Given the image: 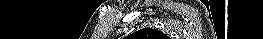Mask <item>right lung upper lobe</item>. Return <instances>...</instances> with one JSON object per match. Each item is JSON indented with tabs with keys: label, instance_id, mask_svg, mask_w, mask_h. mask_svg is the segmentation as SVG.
I'll return each mask as SVG.
<instances>
[{
	"label": "right lung upper lobe",
	"instance_id": "1",
	"mask_svg": "<svg viewBox=\"0 0 263 39\" xmlns=\"http://www.w3.org/2000/svg\"><path fill=\"white\" fill-rule=\"evenodd\" d=\"M137 33H139V35H141V36H152V37H155V38H157V37H159V38H165V36L166 35H164L162 32H160V31H157V30H154V29H143V30H141V31H138Z\"/></svg>",
	"mask_w": 263,
	"mask_h": 39
}]
</instances>
